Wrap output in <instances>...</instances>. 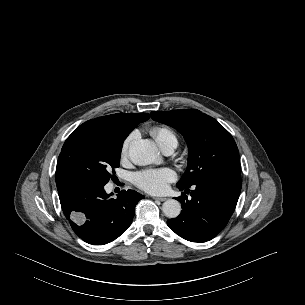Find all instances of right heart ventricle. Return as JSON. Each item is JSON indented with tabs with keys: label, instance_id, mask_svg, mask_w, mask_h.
<instances>
[{
	"label": "right heart ventricle",
	"instance_id": "1",
	"mask_svg": "<svg viewBox=\"0 0 305 305\" xmlns=\"http://www.w3.org/2000/svg\"><path fill=\"white\" fill-rule=\"evenodd\" d=\"M151 134L162 149L171 145L176 147L178 144L176 133L168 127L155 126L151 129Z\"/></svg>",
	"mask_w": 305,
	"mask_h": 305
}]
</instances>
